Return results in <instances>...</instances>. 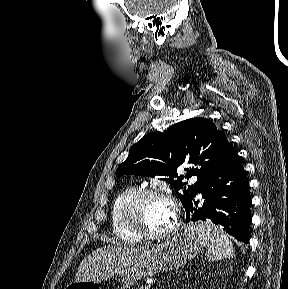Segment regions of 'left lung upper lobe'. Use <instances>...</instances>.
<instances>
[{
	"label": "left lung upper lobe",
	"mask_w": 288,
	"mask_h": 289,
	"mask_svg": "<svg viewBox=\"0 0 288 289\" xmlns=\"http://www.w3.org/2000/svg\"><path fill=\"white\" fill-rule=\"evenodd\" d=\"M228 145L226 135L209 119H187L172 125L165 132L145 135L130 148L127 159L115 174L169 177L161 180L169 181L185 208L220 162ZM185 161L196 168H186V175L179 176L176 169ZM193 175L198 177L195 184L187 186L182 182Z\"/></svg>",
	"instance_id": "obj_1"
}]
</instances>
